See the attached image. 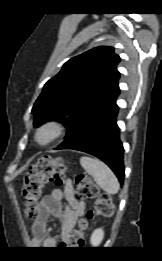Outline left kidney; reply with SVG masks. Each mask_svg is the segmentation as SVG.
Wrapping results in <instances>:
<instances>
[{
    "mask_svg": "<svg viewBox=\"0 0 162 261\" xmlns=\"http://www.w3.org/2000/svg\"><path fill=\"white\" fill-rule=\"evenodd\" d=\"M104 238V231L101 228H98L94 230V232L91 235L90 242L92 246L96 247L98 246Z\"/></svg>",
    "mask_w": 162,
    "mask_h": 261,
    "instance_id": "5707ae66",
    "label": "left kidney"
}]
</instances>
